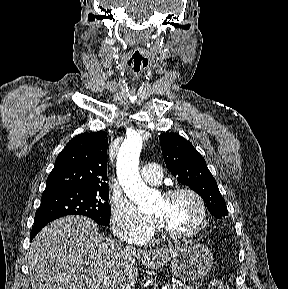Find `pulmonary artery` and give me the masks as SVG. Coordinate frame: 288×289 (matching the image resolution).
<instances>
[{"label":"pulmonary artery","mask_w":288,"mask_h":289,"mask_svg":"<svg viewBox=\"0 0 288 289\" xmlns=\"http://www.w3.org/2000/svg\"><path fill=\"white\" fill-rule=\"evenodd\" d=\"M141 176L149 184H159L163 177V172L159 165L148 163L142 167Z\"/></svg>","instance_id":"1"}]
</instances>
